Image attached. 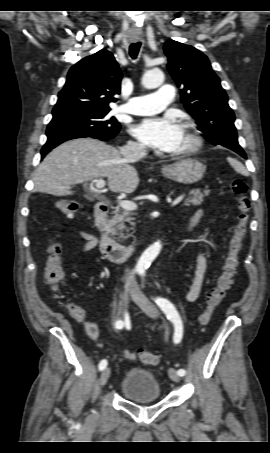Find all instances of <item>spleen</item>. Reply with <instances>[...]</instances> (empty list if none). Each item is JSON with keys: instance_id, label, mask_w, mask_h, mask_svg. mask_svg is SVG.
<instances>
[{"instance_id": "spleen-1", "label": "spleen", "mask_w": 270, "mask_h": 453, "mask_svg": "<svg viewBox=\"0 0 270 453\" xmlns=\"http://www.w3.org/2000/svg\"><path fill=\"white\" fill-rule=\"evenodd\" d=\"M227 160L236 172L241 173V174L246 173V169L241 162H239L238 160H235L233 158H230V157L227 158Z\"/></svg>"}]
</instances>
